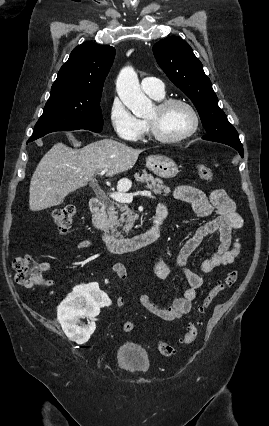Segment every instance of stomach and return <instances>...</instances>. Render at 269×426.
Segmentation results:
<instances>
[{
  "mask_svg": "<svg viewBox=\"0 0 269 426\" xmlns=\"http://www.w3.org/2000/svg\"><path fill=\"white\" fill-rule=\"evenodd\" d=\"M147 168L161 178H173L178 174L176 163L165 156H149L146 161Z\"/></svg>",
  "mask_w": 269,
  "mask_h": 426,
  "instance_id": "0dacf381",
  "label": "stomach"
}]
</instances>
